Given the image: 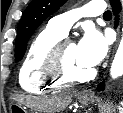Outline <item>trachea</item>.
<instances>
[{"instance_id": "1", "label": "trachea", "mask_w": 123, "mask_h": 113, "mask_svg": "<svg viewBox=\"0 0 123 113\" xmlns=\"http://www.w3.org/2000/svg\"><path fill=\"white\" fill-rule=\"evenodd\" d=\"M103 17H104V18H110V17H112V14H111L110 11H106V12L103 14Z\"/></svg>"}]
</instances>
